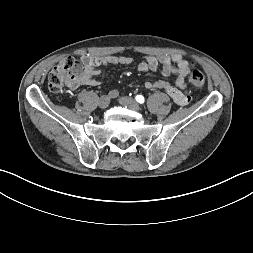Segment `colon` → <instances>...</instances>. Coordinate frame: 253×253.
Returning <instances> with one entry per match:
<instances>
[{
	"mask_svg": "<svg viewBox=\"0 0 253 253\" xmlns=\"http://www.w3.org/2000/svg\"><path fill=\"white\" fill-rule=\"evenodd\" d=\"M84 72L83 65L74 57H65L60 60L48 77V87L53 93L62 92L71 86ZM205 75L200 70H193L188 76V84L193 88L202 87Z\"/></svg>",
	"mask_w": 253,
	"mask_h": 253,
	"instance_id": "1",
	"label": "colon"
}]
</instances>
